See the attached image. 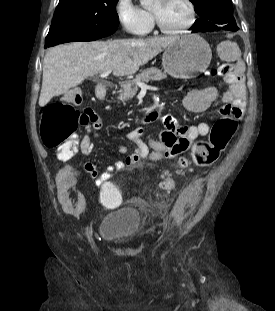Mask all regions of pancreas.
<instances>
[{"label":"pancreas","mask_w":275,"mask_h":311,"mask_svg":"<svg viewBox=\"0 0 275 311\" xmlns=\"http://www.w3.org/2000/svg\"><path fill=\"white\" fill-rule=\"evenodd\" d=\"M167 75L162 72L161 70L151 67L148 69L143 70L141 73L136 75L135 79L125 82L121 85V89L119 91L118 99L125 103V101L132 99L138 90V85L136 84L137 81L142 83H147L151 80L153 81H161L165 79Z\"/></svg>","instance_id":"obj_1"}]
</instances>
